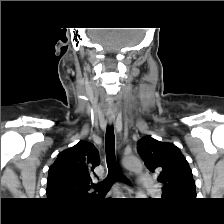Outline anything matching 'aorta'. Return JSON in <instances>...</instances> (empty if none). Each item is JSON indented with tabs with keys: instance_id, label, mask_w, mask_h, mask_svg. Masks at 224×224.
Instances as JSON below:
<instances>
[{
	"instance_id": "aorta-1",
	"label": "aorta",
	"mask_w": 224,
	"mask_h": 224,
	"mask_svg": "<svg viewBox=\"0 0 224 224\" xmlns=\"http://www.w3.org/2000/svg\"><path fill=\"white\" fill-rule=\"evenodd\" d=\"M123 164L125 168L130 171H133L137 174L141 173L143 166L141 161L135 156H127L123 159ZM146 194L142 190H138L136 193V198H145Z\"/></svg>"
}]
</instances>
